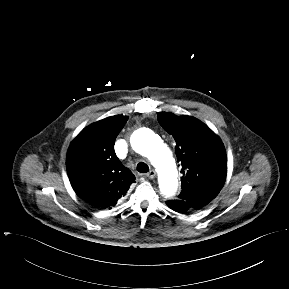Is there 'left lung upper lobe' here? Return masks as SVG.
Returning <instances> with one entry per match:
<instances>
[{"label":"left lung upper lobe","mask_w":289,"mask_h":289,"mask_svg":"<svg viewBox=\"0 0 289 289\" xmlns=\"http://www.w3.org/2000/svg\"><path fill=\"white\" fill-rule=\"evenodd\" d=\"M157 118L176 141L175 152L182 166L179 199L207 205L220 192L227 174V156L221 139L191 116L158 112Z\"/></svg>","instance_id":"5c2ea615"}]
</instances>
